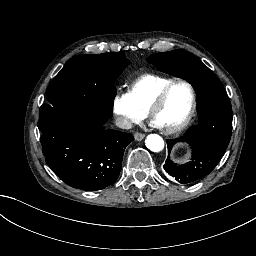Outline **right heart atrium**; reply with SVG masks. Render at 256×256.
I'll return each instance as SVG.
<instances>
[{
	"instance_id": "right-heart-atrium-1",
	"label": "right heart atrium",
	"mask_w": 256,
	"mask_h": 256,
	"mask_svg": "<svg viewBox=\"0 0 256 256\" xmlns=\"http://www.w3.org/2000/svg\"><path fill=\"white\" fill-rule=\"evenodd\" d=\"M132 97L130 93H124L122 95H117L114 102L113 113L116 116L123 117L125 119L126 124H130L133 122H139L141 120V113L138 111H134L130 108L126 109L125 114L119 115V108L128 107Z\"/></svg>"
}]
</instances>
